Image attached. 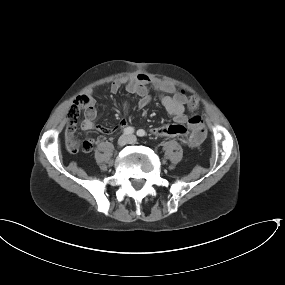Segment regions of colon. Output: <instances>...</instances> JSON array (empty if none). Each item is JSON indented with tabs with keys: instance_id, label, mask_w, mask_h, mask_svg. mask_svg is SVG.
<instances>
[{
	"instance_id": "5ec220e1",
	"label": "colon",
	"mask_w": 285,
	"mask_h": 285,
	"mask_svg": "<svg viewBox=\"0 0 285 285\" xmlns=\"http://www.w3.org/2000/svg\"><path fill=\"white\" fill-rule=\"evenodd\" d=\"M91 97L87 94L79 95L73 101L68 116L72 122H76L83 115L84 111L91 105ZM189 110L192 113H196L198 110L197 101L195 98L191 97L188 102ZM74 139V138H73ZM77 142V140L74 139Z\"/></svg>"
}]
</instances>
